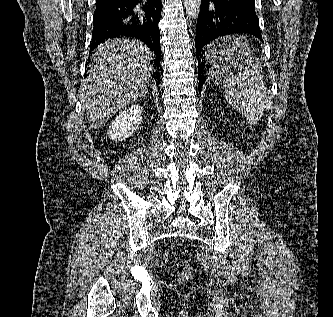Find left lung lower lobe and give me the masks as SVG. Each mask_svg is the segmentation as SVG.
<instances>
[{
  "mask_svg": "<svg viewBox=\"0 0 333 317\" xmlns=\"http://www.w3.org/2000/svg\"><path fill=\"white\" fill-rule=\"evenodd\" d=\"M250 34L262 41L255 0H202L197 19L195 47L198 58L199 92L208 79L209 70L226 59L221 42L210 54L203 47L218 37Z\"/></svg>",
  "mask_w": 333,
  "mask_h": 317,
  "instance_id": "left-lung-lower-lobe-1",
  "label": "left lung lower lobe"
}]
</instances>
